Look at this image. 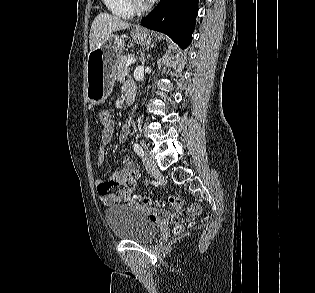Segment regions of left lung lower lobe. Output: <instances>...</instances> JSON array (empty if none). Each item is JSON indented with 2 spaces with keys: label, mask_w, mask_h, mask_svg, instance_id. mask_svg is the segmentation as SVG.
I'll list each match as a JSON object with an SVG mask.
<instances>
[{
  "label": "left lung lower lobe",
  "mask_w": 315,
  "mask_h": 293,
  "mask_svg": "<svg viewBox=\"0 0 315 293\" xmlns=\"http://www.w3.org/2000/svg\"><path fill=\"white\" fill-rule=\"evenodd\" d=\"M197 12L198 0H160L141 24L167 34L186 48L192 40Z\"/></svg>",
  "instance_id": "0a47b994"
}]
</instances>
